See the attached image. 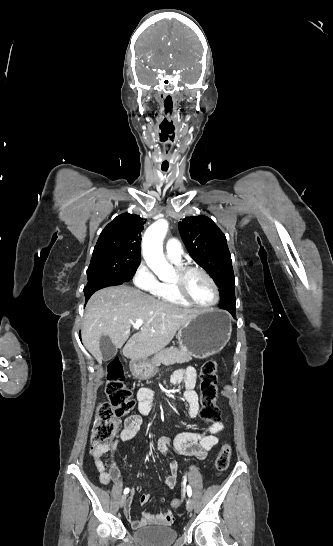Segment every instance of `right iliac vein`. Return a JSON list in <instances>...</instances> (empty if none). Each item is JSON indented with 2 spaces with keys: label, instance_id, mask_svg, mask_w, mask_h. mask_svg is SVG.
Listing matches in <instances>:
<instances>
[{
  "label": "right iliac vein",
  "instance_id": "obj_1",
  "mask_svg": "<svg viewBox=\"0 0 333 546\" xmlns=\"http://www.w3.org/2000/svg\"><path fill=\"white\" fill-rule=\"evenodd\" d=\"M126 501V495H122L120 498V506L122 507Z\"/></svg>",
  "mask_w": 333,
  "mask_h": 546
}]
</instances>
